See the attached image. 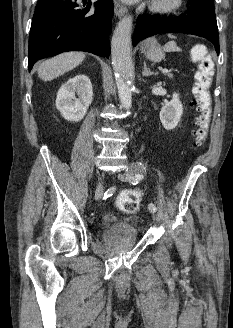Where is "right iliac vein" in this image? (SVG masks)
<instances>
[{
  "label": "right iliac vein",
  "mask_w": 233,
  "mask_h": 328,
  "mask_svg": "<svg viewBox=\"0 0 233 328\" xmlns=\"http://www.w3.org/2000/svg\"><path fill=\"white\" fill-rule=\"evenodd\" d=\"M103 195V185L99 183L95 192V198L100 199Z\"/></svg>",
  "instance_id": "63e3f726"
}]
</instances>
